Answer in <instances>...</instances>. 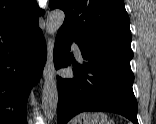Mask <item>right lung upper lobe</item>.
<instances>
[{"mask_svg": "<svg viewBox=\"0 0 156 124\" xmlns=\"http://www.w3.org/2000/svg\"><path fill=\"white\" fill-rule=\"evenodd\" d=\"M43 14L35 0H0V42L35 32Z\"/></svg>", "mask_w": 156, "mask_h": 124, "instance_id": "obj_1", "label": "right lung upper lobe"}]
</instances>
